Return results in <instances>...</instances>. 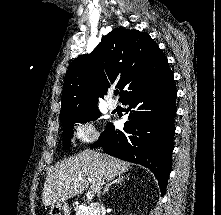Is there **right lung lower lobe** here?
Listing matches in <instances>:
<instances>
[{"label":"right lung lower lobe","mask_w":221,"mask_h":215,"mask_svg":"<svg viewBox=\"0 0 221 215\" xmlns=\"http://www.w3.org/2000/svg\"><path fill=\"white\" fill-rule=\"evenodd\" d=\"M177 92L170 69L121 102L129 105L128 121L117 130L109 123L91 148L101 146L117 158L141 164L156 176L162 194L171 171Z\"/></svg>","instance_id":"right-lung-lower-lobe-1"}]
</instances>
